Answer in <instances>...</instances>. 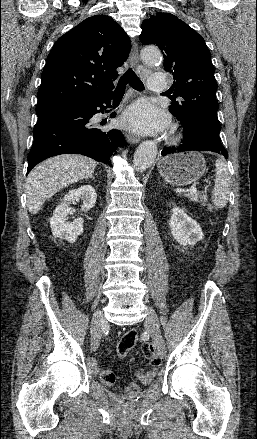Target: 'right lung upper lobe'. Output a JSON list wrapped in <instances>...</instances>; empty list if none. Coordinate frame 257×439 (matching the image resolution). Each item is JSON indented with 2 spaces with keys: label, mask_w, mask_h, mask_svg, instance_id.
I'll use <instances>...</instances> for the list:
<instances>
[{
  "label": "right lung upper lobe",
  "mask_w": 257,
  "mask_h": 439,
  "mask_svg": "<svg viewBox=\"0 0 257 439\" xmlns=\"http://www.w3.org/2000/svg\"><path fill=\"white\" fill-rule=\"evenodd\" d=\"M130 49L128 35L106 15L89 17L65 33L43 69L37 115L111 94L116 68L127 60Z\"/></svg>",
  "instance_id": "right-lung-upper-lobe-1"
}]
</instances>
